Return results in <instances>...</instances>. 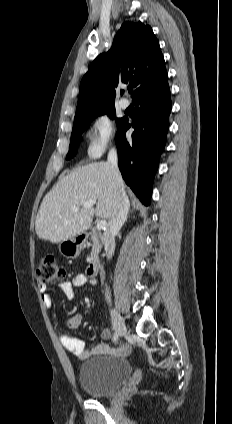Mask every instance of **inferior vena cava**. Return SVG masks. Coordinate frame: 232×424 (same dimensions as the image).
I'll use <instances>...</instances> for the list:
<instances>
[{
	"mask_svg": "<svg viewBox=\"0 0 232 424\" xmlns=\"http://www.w3.org/2000/svg\"><path fill=\"white\" fill-rule=\"evenodd\" d=\"M107 163L110 167L113 179L115 180L116 184L114 193V211L103 234L106 256L108 259H110L113 256L115 250V235L118 233L127 219L130 203L125 192L119 186L122 178L118 168L117 151L115 148L110 149L107 157ZM105 295L107 300L110 301V293L107 287Z\"/></svg>",
	"mask_w": 232,
	"mask_h": 424,
	"instance_id": "obj_1",
	"label": "inferior vena cava"
}]
</instances>
